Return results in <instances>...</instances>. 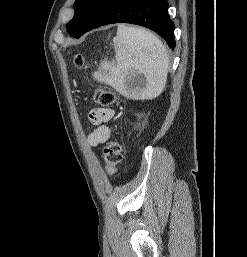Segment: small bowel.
I'll list each match as a JSON object with an SVG mask.
<instances>
[{
    "label": "small bowel",
    "mask_w": 247,
    "mask_h": 257,
    "mask_svg": "<svg viewBox=\"0 0 247 257\" xmlns=\"http://www.w3.org/2000/svg\"><path fill=\"white\" fill-rule=\"evenodd\" d=\"M114 116V111L109 108H95L89 113L90 122L97 128L88 136V143L91 146H98L104 143L110 136V129L103 125L109 122Z\"/></svg>",
    "instance_id": "c3829d8e"
}]
</instances>
